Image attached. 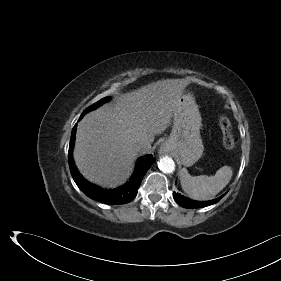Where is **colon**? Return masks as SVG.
<instances>
[{
    "mask_svg": "<svg viewBox=\"0 0 281 281\" xmlns=\"http://www.w3.org/2000/svg\"><path fill=\"white\" fill-rule=\"evenodd\" d=\"M218 125L222 130V143L226 149H234L237 145V138L234 135L229 119L221 115L218 118Z\"/></svg>",
    "mask_w": 281,
    "mask_h": 281,
    "instance_id": "obj_1",
    "label": "colon"
}]
</instances>
